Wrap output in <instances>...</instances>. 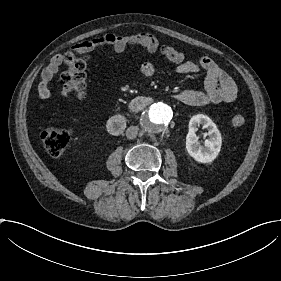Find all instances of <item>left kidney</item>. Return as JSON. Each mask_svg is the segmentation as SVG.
Returning <instances> with one entry per match:
<instances>
[{
    "label": "left kidney",
    "mask_w": 281,
    "mask_h": 281,
    "mask_svg": "<svg viewBox=\"0 0 281 281\" xmlns=\"http://www.w3.org/2000/svg\"><path fill=\"white\" fill-rule=\"evenodd\" d=\"M202 124L203 128L208 130L209 139L205 140L204 146L199 143L196 135L198 125ZM222 138L216 124L203 114L194 115L189 121V132L186 136V149L190 156L201 163L212 162L221 149Z\"/></svg>",
    "instance_id": "5707ae66"
}]
</instances>
